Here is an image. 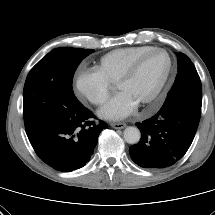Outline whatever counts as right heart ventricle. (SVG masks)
<instances>
[{"mask_svg": "<svg viewBox=\"0 0 215 215\" xmlns=\"http://www.w3.org/2000/svg\"><path fill=\"white\" fill-rule=\"evenodd\" d=\"M151 46H133L118 48L103 55L95 66L111 84L117 82L126 68L141 54L152 49Z\"/></svg>", "mask_w": 215, "mask_h": 215, "instance_id": "1", "label": "right heart ventricle"}]
</instances>
